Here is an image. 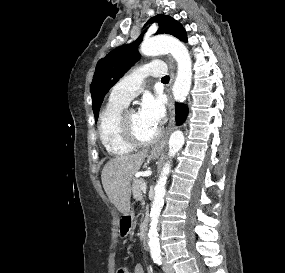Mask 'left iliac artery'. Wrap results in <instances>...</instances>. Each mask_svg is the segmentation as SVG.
<instances>
[{
    "mask_svg": "<svg viewBox=\"0 0 285 273\" xmlns=\"http://www.w3.org/2000/svg\"><path fill=\"white\" fill-rule=\"evenodd\" d=\"M152 258L154 260V263H156L157 265H161L162 264L160 255H153Z\"/></svg>",
    "mask_w": 285,
    "mask_h": 273,
    "instance_id": "44dca946",
    "label": "left iliac artery"
}]
</instances>
